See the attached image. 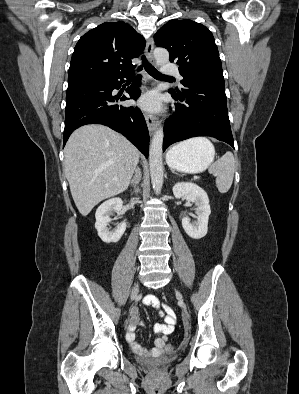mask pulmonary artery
Returning <instances> with one entry per match:
<instances>
[{"label": "pulmonary artery", "mask_w": 299, "mask_h": 394, "mask_svg": "<svg viewBox=\"0 0 299 394\" xmlns=\"http://www.w3.org/2000/svg\"><path fill=\"white\" fill-rule=\"evenodd\" d=\"M162 74L165 75V76H169V77L170 76H175V77L181 79V75H180L179 71L176 68L171 67L168 64H164L163 65V67H162Z\"/></svg>", "instance_id": "e3ab8cb5"}]
</instances>
